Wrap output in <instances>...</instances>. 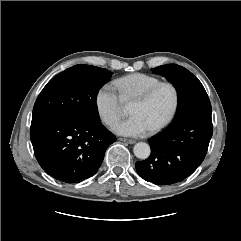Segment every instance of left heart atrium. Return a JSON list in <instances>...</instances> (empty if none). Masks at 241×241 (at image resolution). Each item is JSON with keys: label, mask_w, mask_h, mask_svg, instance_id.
Here are the masks:
<instances>
[{"label": "left heart atrium", "mask_w": 241, "mask_h": 241, "mask_svg": "<svg viewBox=\"0 0 241 241\" xmlns=\"http://www.w3.org/2000/svg\"><path fill=\"white\" fill-rule=\"evenodd\" d=\"M113 130L124 136H141L146 134L150 128L139 115H131L129 118L117 122Z\"/></svg>", "instance_id": "39dd6f15"}]
</instances>
